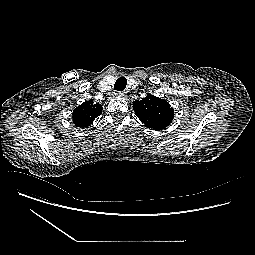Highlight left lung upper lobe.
<instances>
[{"instance_id":"1","label":"left lung upper lobe","mask_w":255,"mask_h":255,"mask_svg":"<svg viewBox=\"0 0 255 255\" xmlns=\"http://www.w3.org/2000/svg\"><path fill=\"white\" fill-rule=\"evenodd\" d=\"M133 109L147 128L156 131L169 126L174 117V110L170 107V104L166 100L153 95H147L140 101H134Z\"/></svg>"}]
</instances>
